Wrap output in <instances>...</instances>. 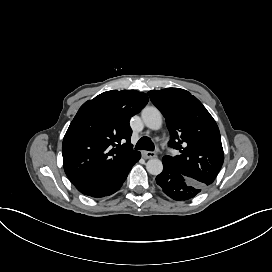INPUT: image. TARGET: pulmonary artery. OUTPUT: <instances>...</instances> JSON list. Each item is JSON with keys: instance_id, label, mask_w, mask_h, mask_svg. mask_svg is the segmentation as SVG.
Masks as SVG:
<instances>
[{"instance_id": "obj_1", "label": "pulmonary artery", "mask_w": 272, "mask_h": 272, "mask_svg": "<svg viewBox=\"0 0 272 272\" xmlns=\"http://www.w3.org/2000/svg\"><path fill=\"white\" fill-rule=\"evenodd\" d=\"M163 147L166 149V151L170 154V155H175L176 154V149L172 146L171 142L169 139H164L162 142Z\"/></svg>"}]
</instances>
